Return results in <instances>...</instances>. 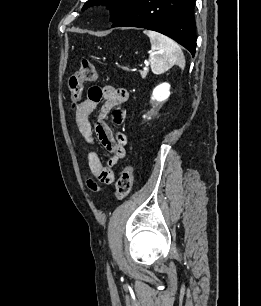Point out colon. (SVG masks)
Returning <instances> with one entry per match:
<instances>
[{
  "label": "colon",
  "mask_w": 261,
  "mask_h": 306,
  "mask_svg": "<svg viewBox=\"0 0 261 306\" xmlns=\"http://www.w3.org/2000/svg\"><path fill=\"white\" fill-rule=\"evenodd\" d=\"M98 79V72L94 64L83 59L77 70L68 78V89L73 106L81 99L84 85L89 82H95ZM133 175L131 166L123 168L115 187V194L118 199H124L131 191Z\"/></svg>",
  "instance_id": "5ec220e1"
}]
</instances>
